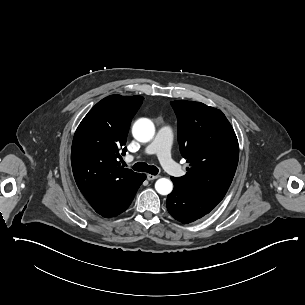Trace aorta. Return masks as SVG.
<instances>
[{"label": "aorta", "mask_w": 305, "mask_h": 305, "mask_svg": "<svg viewBox=\"0 0 305 305\" xmlns=\"http://www.w3.org/2000/svg\"><path fill=\"white\" fill-rule=\"evenodd\" d=\"M132 134L139 142L150 141L155 134L153 122L147 118L137 120L133 125ZM155 189L161 195H168L173 190V183L167 178H160L155 183Z\"/></svg>", "instance_id": "aorta-1"}]
</instances>
